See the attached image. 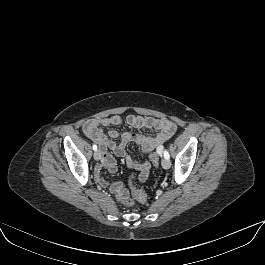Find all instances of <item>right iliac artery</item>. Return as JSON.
<instances>
[{
    "label": "right iliac artery",
    "instance_id": "1",
    "mask_svg": "<svg viewBox=\"0 0 265 265\" xmlns=\"http://www.w3.org/2000/svg\"><path fill=\"white\" fill-rule=\"evenodd\" d=\"M92 148H93L94 151H96L97 150V145L93 144Z\"/></svg>",
    "mask_w": 265,
    "mask_h": 265
}]
</instances>
